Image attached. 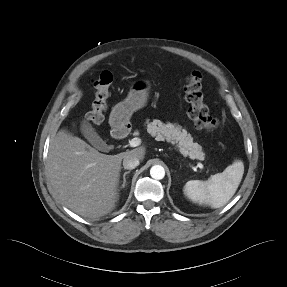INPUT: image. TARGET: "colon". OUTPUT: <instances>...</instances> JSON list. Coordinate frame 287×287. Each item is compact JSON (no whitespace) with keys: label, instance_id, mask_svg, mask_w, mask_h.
Returning <instances> with one entry per match:
<instances>
[{"label":"colon","instance_id":"1","mask_svg":"<svg viewBox=\"0 0 287 287\" xmlns=\"http://www.w3.org/2000/svg\"><path fill=\"white\" fill-rule=\"evenodd\" d=\"M112 83L113 76L109 71H103L93 79L95 95L91 109L85 116L87 122L100 124L104 120ZM184 92L189 103L188 115L195 127L208 133L216 131L220 126V121L211 115L205 102L202 75L199 72H191L186 77Z\"/></svg>","mask_w":287,"mask_h":287}]
</instances>
